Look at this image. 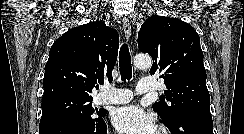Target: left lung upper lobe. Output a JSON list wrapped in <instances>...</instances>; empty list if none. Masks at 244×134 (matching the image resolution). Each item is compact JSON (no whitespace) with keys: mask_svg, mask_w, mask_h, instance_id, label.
Returning a JSON list of instances; mask_svg holds the SVG:
<instances>
[{"mask_svg":"<svg viewBox=\"0 0 244 134\" xmlns=\"http://www.w3.org/2000/svg\"><path fill=\"white\" fill-rule=\"evenodd\" d=\"M138 47L153 59L150 74L161 73L167 87L165 98L171 103L153 104L165 124L186 110L211 115L200 38L191 25L153 15L141 26Z\"/></svg>","mask_w":244,"mask_h":134,"instance_id":"obj_1","label":"left lung upper lobe"}]
</instances>
